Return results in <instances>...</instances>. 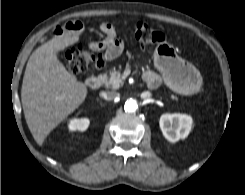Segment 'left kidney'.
Segmentation results:
<instances>
[{
	"label": "left kidney",
	"mask_w": 245,
	"mask_h": 195,
	"mask_svg": "<svg viewBox=\"0 0 245 195\" xmlns=\"http://www.w3.org/2000/svg\"><path fill=\"white\" fill-rule=\"evenodd\" d=\"M159 125L164 137L174 143L188 136L192 127V118L186 114H163Z\"/></svg>",
	"instance_id": "obj_1"
}]
</instances>
